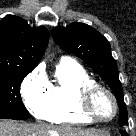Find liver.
<instances>
[{
    "label": "liver",
    "instance_id": "1",
    "mask_svg": "<svg viewBox=\"0 0 136 136\" xmlns=\"http://www.w3.org/2000/svg\"><path fill=\"white\" fill-rule=\"evenodd\" d=\"M0 136H108L103 131L0 120Z\"/></svg>",
    "mask_w": 136,
    "mask_h": 136
}]
</instances>
